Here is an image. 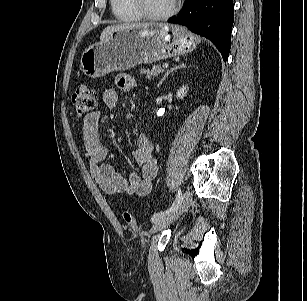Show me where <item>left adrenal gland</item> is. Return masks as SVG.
Returning <instances> with one entry per match:
<instances>
[{"label":"left adrenal gland","mask_w":307,"mask_h":301,"mask_svg":"<svg viewBox=\"0 0 307 301\" xmlns=\"http://www.w3.org/2000/svg\"><path fill=\"white\" fill-rule=\"evenodd\" d=\"M186 67V63L185 62H182L180 63L179 65H176L175 67L171 68L170 70H168L165 75L163 76V78L160 80V82L158 83V86H160L163 81L168 77V75L174 71H176L177 69H180V68H184Z\"/></svg>","instance_id":"obj_1"}]
</instances>
